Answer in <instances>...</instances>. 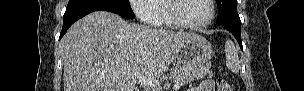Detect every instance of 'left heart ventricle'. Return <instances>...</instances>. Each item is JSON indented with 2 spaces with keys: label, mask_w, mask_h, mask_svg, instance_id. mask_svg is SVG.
Segmentation results:
<instances>
[{
  "label": "left heart ventricle",
  "mask_w": 304,
  "mask_h": 91,
  "mask_svg": "<svg viewBox=\"0 0 304 91\" xmlns=\"http://www.w3.org/2000/svg\"><path fill=\"white\" fill-rule=\"evenodd\" d=\"M211 13L207 0H183L179 4L181 18L189 24L205 22Z\"/></svg>",
  "instance_id": "b2bd125f"
}]
</instances>
